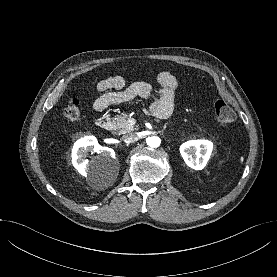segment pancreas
I'll use <instances>...</instances> for the list:
<instances>
[{"mask_svg":"<svg viewBox=\"0 0 277 277\" xmlns=\"http://www.w3.org/2000/svg\"><path fill=\"white\" fill-rule=\"evenodd\" d=\"M130 116L123 112L121 115H118L113 119V129L119 134L129 133L136 130L135 126L130 125L129 123Z\"/></svg>","mask_w":277,"mask_h":277,"instance_id":"pancreas-1","label":"pancreas"}]
</instances>
